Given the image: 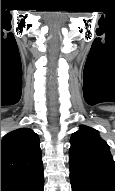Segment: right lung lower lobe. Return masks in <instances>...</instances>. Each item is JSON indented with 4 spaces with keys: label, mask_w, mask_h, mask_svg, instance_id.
Segmentation results:
<instances>
[{
    "label": "right lung lower lobe",
    "mask_w": 115,
    "mask_h": 191,
    "mask_svg": "<svg viewBox=\"0 0 115 191\" xmlns=\"http://www.w3.org/2000/svg\"><path fill=\"white\" fill-rule=\"evenodd\" d=\"M43 169L26 176L1 178V191H43Z\"/></svg>",
    "instance_id": "obj_1"
}]
</instances>
